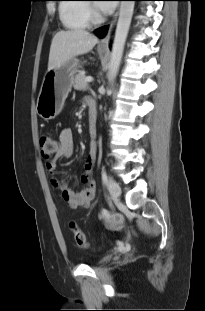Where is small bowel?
Wrapping results in <instances>:
<instances>
[{
    "instance_id": "small-bowel-1",
    "label": "small bowel",
    "mask_w": 205,
    "mask_h": 311,
    "mask_svg": "<svg viewBox=\"0 0 205 311\" xmlns=\"http://www.w3.org/2000/svg\"><path fill=\"white\" fill-rule=\"evenodd\" d=\"M92 102L89 101V133L92 137L96 135L95 119L96 111L91 110ZM60 148L58 152L49 161H46V170L50 175L53 176L51 182L52 185L60 192L62 199L71 207H87L93 200L96 192V183L91 177L97 151L94 144H92L86 155L85 170L86 173L81 176V182L85 187L79 191L74 192L69 188L66 180L62 177L55 176L57 170V161L61 159H69L74 154V139L73 132L70 128H65L60 132L59 135Z\"/></svg>"
}]
</instances>
